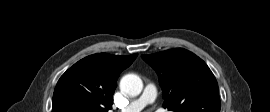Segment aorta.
Segmentation results:
<instances>
[{
    "mask_svg": "<svg viewBox=\"0 0 270 112\" xmlns=\"http://www.w3.org/2000/svg\"><path fill=\"white\" fill-rule=\"evenodd\" d=\"M120 89L124 94L137 96L143 89L141 78L135 74L124 75L120 81Z\"/></svg>",
    "mask_w": 270,
    "mask_h": 112,
    "instance_id": "1",
    "label": "aorta"
}]
</instances>
